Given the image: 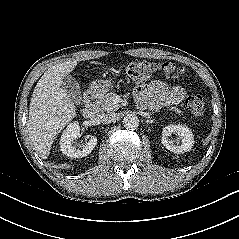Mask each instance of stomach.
<instances>
[{"instance_id": "stomach-1", "label": "stomach", "mask_w": 239, "mask_h": 239, "mask_svg": "<svg viewBox=\"0 0 239 239\" xmlns=\"http://www.w3.org/2000/svg\"><path fill=\"white\" fill-rule=\"evenodd\" d=\"M111 87V82L108 80H95L90 85L91 91L94 93H105Z\"/></svg>"}]
</instances>
